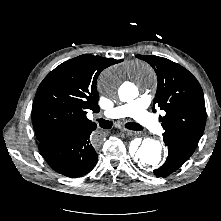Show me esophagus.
<instances>
[{
    "label": "esophagus",
    "mask_w": 221,
    "mask_h": 221,
    "mask_svg": "<svg viewBox=\"0 0 221 221\" xmlns=\"http://www.w3.org/2000/svg\"><path fill=\"white\" fill-rule=\"evenodd\" d=\"M121 131H123L127 136H132V135H134V132H133V131H130V130L121 129Z\"/></svg>",
    "instance_id": "esophagus-1"
}]
</instances>
